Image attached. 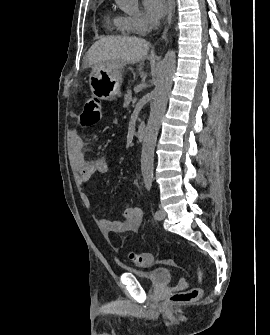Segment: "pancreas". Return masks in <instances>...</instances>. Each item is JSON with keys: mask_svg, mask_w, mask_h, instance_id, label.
<instances>
[{"mask_svg": "<svg viewBox=\"0 0 270 335\" xmlns=\"http://www.w3.org/2000/svg\"><path fill=\"white\" fill-rule=\"evenodd\" d=\"M130 102H134V100L132 98V92H131V90H128V92H127V94L125 96L123 108H128Z\"/></svg>", "mask_w": 270, "mask_h": 335, "instance_id": "obj_1", "label": "pancreas"}]
</instances>
